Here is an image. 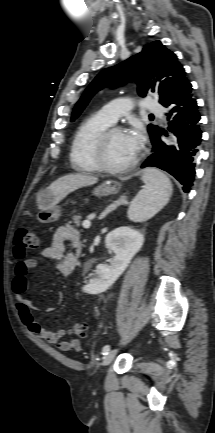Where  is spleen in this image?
<instances>
[{"label":"spleen","instance_id":"obj_1","mask_svg":"<svg viewBox=\"0 0 215 433\" xmlns=\"http://www.w3.org/2000/svg\"><path fill=\"white\" fill-rule=\"evenodd\" d=\"M142 180L145 186L131 202L127 213L134 222H144L153 217L168 203L172 194L169 178L157 169H145Z\"/></svg>","mask_w":215,"mask_h":433}]
</instances>
